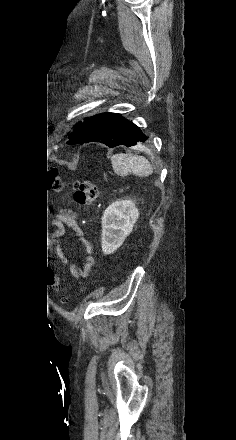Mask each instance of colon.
Listing matches in <instances>:
<instances>
[{"instance_id":"colon-1","label":"colon","mask_w":236,"mask_h":440,"mask_svg":"<svg viewBox=\"0 0 236 440\" xmlns=\"http://www.w3.org/2000/svg\"><path fill=\"white\" fill-rule=\"evenodd\" d=\"M49 176L51 186L54 189L60 190L67 187L72 188L74 190V199L76 203L82 207L89 206L98 197L99 189L97 185L89 179L66 183L60 179L59 171L56 168L50 170ZM46 282L48 285H58L60 279L58 276H48Z\"/></svg>"}]
</instances>
